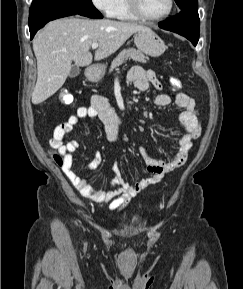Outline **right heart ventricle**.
I'll use <instances>...</instances> for the list:
<instances>
[{
  "label": "right heart ventricle",
  "mask_w": 243,
  "mask_h": 289,
  "mask_svg": "<svg viewBox=\"0 0 243 289\" xmlns=\"http://www.w3.org/2000/svg\"><path fill=\"white\" fill-rule=\"evenodd\" d=\"M110 16L122 21H137L139 19L130 10L128 0H117Z\"/></svg>",
  "instance_id": "1"
}]
</instances>
